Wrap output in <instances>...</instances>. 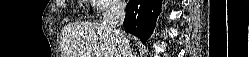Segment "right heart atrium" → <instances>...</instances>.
<instances>
[{
	"label": "right heart atrium",
	"instance_id": "obj_1",
	"mask_svg": "<svg viewBox=\"0 0 249 57\" xmlns=\"http://www.w3.org/2000/svg\"><path fill=\"white\" fill-rule=\"evenodd\" d=\"M93 2H94L93 6L99 11H101L102 13L108 12L121 5V2L112 1V0H98V1H93Z\"/></svg>",
	"mask_w": 249,
	"mask_h": 57
}]
</instances>
